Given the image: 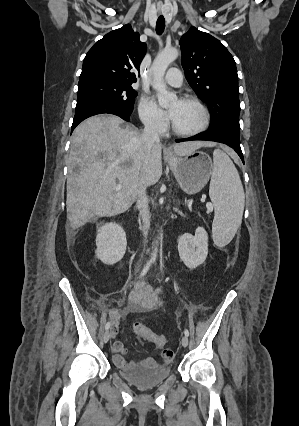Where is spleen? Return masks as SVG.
<instances>
[{
    "label": "spleen",
    "mask_w": 299,
    "mask_h": 426,
    "mask_svg": "<svg viewBox=\"0 0 299 426\" xmlns=\"http://www.w3.org/2000/svg\"><path fill=\"white\" fill-rule=\"evenodd\" d=\"M209 195L214 205L212 236L219 247L227 245L241 225L245 195L239 173L222 150L213 152Z\"/></svg>",
    "instance_id": "3e777b00"
}]
</instances>
